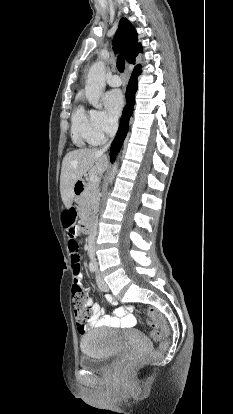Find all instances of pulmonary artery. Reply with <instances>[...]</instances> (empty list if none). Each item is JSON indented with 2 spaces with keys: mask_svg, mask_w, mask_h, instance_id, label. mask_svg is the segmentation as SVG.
Returning a JSON list of instances; mask_svg holds the SVG:
<instances>
[{
  "mask_svg": "<svg viewBox=\"0 0 233 414\" xmlns=\"http://www.w3.org/2000/svg\"><path fill=\"white\" fill-rule=\"evenodd\" d=\"M108 84L112 87H117L120 86L122 84V79L120 78V76L118 75H112L109 79H108Z\"/></svg>",
  "mask_w": 233,
  "mask_h": 414,
  "instance_id": "e3ab8cb5",
  "label": "pulmonary artery"
}]
</instances>
